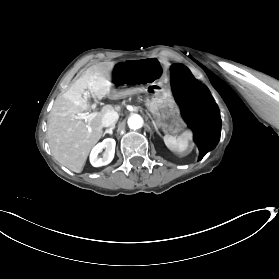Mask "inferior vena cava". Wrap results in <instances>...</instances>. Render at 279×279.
Returning <instances> with one entry per match:
<instances>
[{
  "instance_id": "1",
  "label": "inferior vena cava",
  "mask_w": 279,
  "mask_h": 279,
  "mask_svg": "<svg viewBox=\"0 0 279 279\" xmlns=\"http://www.w3.org/2000/svg\"><path fill=\"white\" fill-rule=\"evenodd\" d=\"M119 118V115H117L116 112H108L105 114L104 119H102V123L103 125H105V127H109L111 124L116 123L115 121H117Z\"/></svg>"
}]
</instances>
